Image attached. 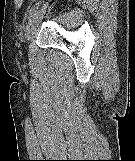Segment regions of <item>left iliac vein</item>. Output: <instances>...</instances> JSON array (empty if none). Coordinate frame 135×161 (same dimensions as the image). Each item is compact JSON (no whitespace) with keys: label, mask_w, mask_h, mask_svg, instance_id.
I'll list each match as a JSON object with an SVG mask.
<instances>
[{"label":"left iliac vein","mask_w":135,"mask_h":161,"mask_svg":"<svg viewBox=\"0 0 135 161\" xmlns=\"http://www.w3.org/2000/svg\"><path fill=\"white\" fill-rule=\"evenodd\" d=\"M45 9L46 5L41 7V9H39L31 19H29L24 33L26 41H30L34 37L38 29L39 23L41 22L45 13Z\"/></svg>","instance_id":"4c4485c4"}]
</instances>
